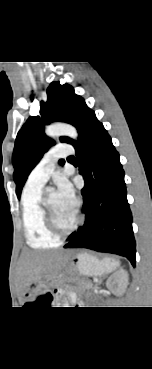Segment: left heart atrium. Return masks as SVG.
Listing matches in <instances>:
<instances>
[{
	"mask_svg": "<svg viewBox=\"0 0 152 369\" xmlns=\"http://www.w3.org/2000/svg\"><path fill=\"white\" fill-rule=\"evenodd\" d=\"M56 194L64 207L76 212L78 200L71 184L67 180L59 179L57 181Z\"/></svg>",
	"mask_w": 152,
	"mask_h": 369,
	"instance_id": "39dd6f15",
	"label": "left heart atrium"
}]
</instances>
